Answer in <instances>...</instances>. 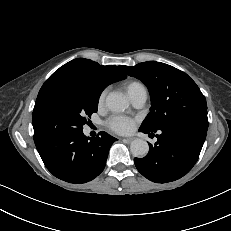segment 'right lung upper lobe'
Listing matches in <instances>:
<instances>
[{"label": "right lung upper lobe", "mask_w": 231, "mask_h": 231, "mask_svg": "<svg viewBox=\"0 0 231 231\" xmlns=\"http://www.w3.org/2000/svg\"><path fill=\"white\" fill-rule=\"evenodd\" d=\"M73 77L92 78L106 87L113 82L126 78V74L122 72L121 66H103L89 59L77 58L56 70L43 85Z\"/></svg>", "instance_id": "right-lung-upper-lobe-1"}]
</instances>
